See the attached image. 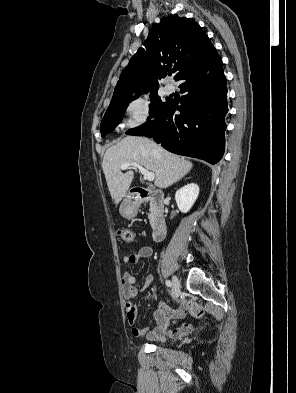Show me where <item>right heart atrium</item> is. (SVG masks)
<instances>
[{
    "label": "right heart atrium",
    "instance_id": "d8ad5b80",
    "mask_svg": "<svg viewBox=\"0 0 296 393\" xmlns=\"http://www.w3.org/2000/svg\"><path fill=\"white\" fill-rule=\"evenodd\" d=\"M151 104L144 97H137L126 106V123L130 128H136L146 123L151 116Z\"/></svg>",
    "mask_w": 296,
    "mask_h": 393
}]
</instances>
